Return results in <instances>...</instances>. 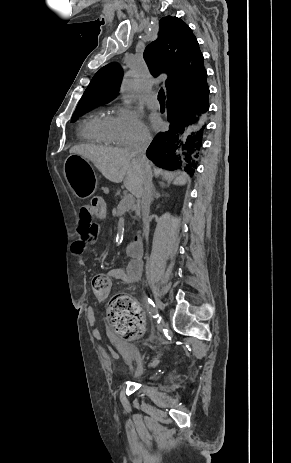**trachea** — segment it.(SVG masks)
<instances>
[{
    "instance_id": "trachea-1",
    "label": "trachea",
    "mask_w": 291,
    "mask_h": 463,
    "mask_svg": "<svg viewBox=\"0 0 291 463\" xmlns=\"http://www.w3.org/2000/svg\"><path fill=\"white\" fill-rule=\"evenodd\" d=\"M158 100H159V102H165V94H164V91L162 89L158 93Z\"/></svg>"
}]
</instances>
